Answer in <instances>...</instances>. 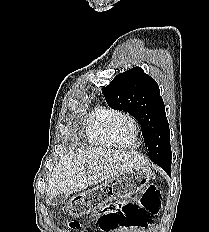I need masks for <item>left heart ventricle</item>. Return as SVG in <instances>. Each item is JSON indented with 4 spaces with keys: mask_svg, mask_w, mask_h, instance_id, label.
Listing matches in <instances>:
<instances>
[{
    "mask_svg": "<svg viewBox=\"0 0 209 232\" xmlns=\"http://www.w3.org/2000/svg\"><path fill=\"white\" fill-rule=\"evenodd\" d=\"M117 140L125 145L131 146L133 140V125L127 119L119 120L113 128Z\"/></svg>",
    "mask_w": 209,
    "mask_h": 232,
    "instance_id": "obj_1",
    "label": "left heart ventricle"
}]
</instances>
